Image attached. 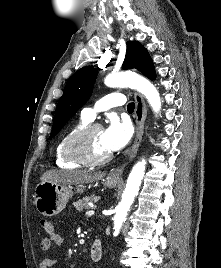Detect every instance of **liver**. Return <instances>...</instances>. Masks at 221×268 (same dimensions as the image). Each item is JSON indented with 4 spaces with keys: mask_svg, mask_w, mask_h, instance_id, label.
Segmentation results:
<instances>
[{
    "mask_svg": "<svg viewBox=\"0 0 221 268\" xmlns=\"http://www.w3.org/2000/svg\"><path fill=\"white\" fill-rule=\"evenodd\" d=\"M104 173L90 171L48 170L40 177L41 182H51L64 185H83L97 182L104 177Z\"/></svg>",
    "mask_w": 221,
    "mask_h": 268,
    "instance_id": "liver-1",
    "label": "liver"
}]
</instances>
